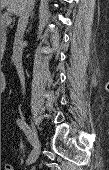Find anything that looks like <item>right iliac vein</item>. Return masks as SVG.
<instances>
[{"label": "right iliac vein", "instance_id": "obj_1", "mask_svg": "<svg viewBox=\"0 0 109 170\" xmlns=\"http://www.w3.org/2000/svg\"><path fill=\"white\" fill-rule=\"evenodd\" d=\"M30 138L33 143V151L27 160L28 164L34 163L38 159L40 154V148H41L35 126L32 122H30Z\"/></svg>", "mask_w": 109, "mask_h": 170}]
</instances>
